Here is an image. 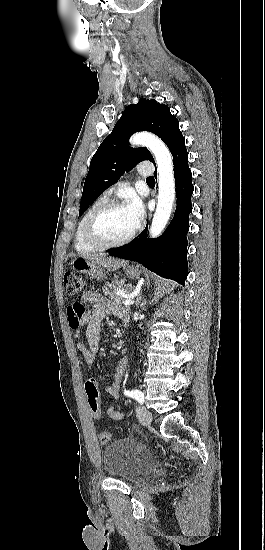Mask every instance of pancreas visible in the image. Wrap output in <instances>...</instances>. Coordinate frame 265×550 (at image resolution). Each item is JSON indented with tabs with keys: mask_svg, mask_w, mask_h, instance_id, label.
<instances>
[{
	"mask_svg": "<svg viewBox=\"0 0 265 550\" xmlns=\"http://www.w3.org/2000/svg\"><path fill=\"white\" fill-rule=\"evenodd\" d=\"M132 289L133 286L131 284L125 285L124 281L115 280L111 283H107L103 287V292L105 295L109 296L110 301L120 304L122 297L118 294V291L130 292Z\"/></svg>",
	"mask_w": 265,
	"mask_h": 550,
	"instance_id": "1",
	"label": "pancreas"
}]
</instances>
